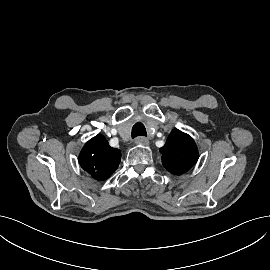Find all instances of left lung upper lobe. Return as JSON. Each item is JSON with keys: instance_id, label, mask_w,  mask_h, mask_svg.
Listing matches in <instances>:
<instances>
[{"instance_id": "obj_1", "label": "left lung upper lobe", "mask_w": 270, "mask_h": 270, "mask_svg": "<svg viewBox=\"0 0 270 270\" xmlns=\"http://www.w3.org/2000/svg\"><path fill=\"white\" fill-rule=\"evenodd\" d=\"M164 167L175 175L187 172L198 160V150L194 140L186 133L175 129L160 148Z\"/></svg>"}]
</instances>
